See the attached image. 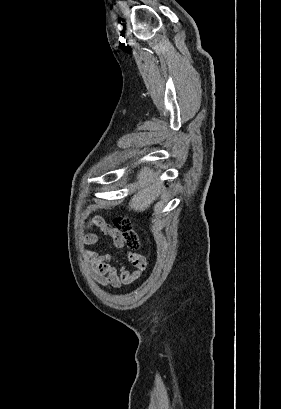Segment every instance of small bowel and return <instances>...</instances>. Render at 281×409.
Returning <instances> with one entry per match:
<instances>
[{"instance_id": "obj_1", "label": "small bowel", "mask_w": 281, "mask_h": 409, "mask_svg": "<svg viewBox=\"0 0 281 409\" xmlns=\"http://www.w3.org/2000/svg\"><path fill=\"white\" fill-rule=\"evenodd\" d=\"M94 225L95 226H92L89 222L83 225V228L87 232L83 237L84 244L97 245V235L104 234L113 239V245L115 247L122 245L120 233L103 219H96ZM83 255L86 262L93 265V276L95 280L101 285L110 288H120L131 282H138L140 280V274L144 273L146 266L144 257L135 252L129 254V265L135 267L134 272H131L125 265L117 261L112 263L113 258L109 254H100L98 251L85 250Z\"/></svg>"}]
</instances>
